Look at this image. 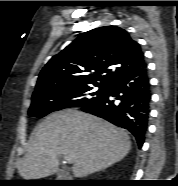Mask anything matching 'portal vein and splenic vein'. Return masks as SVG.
<instances>
[{"mask_svg":"<svg viewBox=\"0 0 178 186\" xmlns=\"http://www.w3.org/2000/svg\"><path fill=\"white\" fill-rule=\"evenodd\" d=\"M64 158H65V161H66L67 163H72V158H71V157L64 156Z\"/></svg>","mask_w":178,"mask_h":186,"instance_id":"18ae733b","label":"portal vein and splenic vein"}]
</instances>
